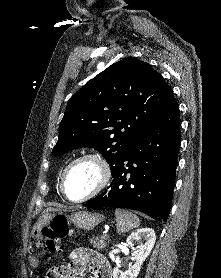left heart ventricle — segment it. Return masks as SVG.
<instances>
[{"label": "left heart ventricle", "mask_w": 221, "mask_h": 278, "mask_svg": "<svg viewBox=\"0 0 221 278\" xmlns=\"http://www.w3.org/2000/svg\"><path fill=\"white\" fill-rule=\"evenodd\" d=\"M99 179L98 167L91 161L74 165L68 172L65 190L71 199H79L88 194Z\"/></svg>", "instance_id": "left-heart-ventricle-1"}]
</instances>
